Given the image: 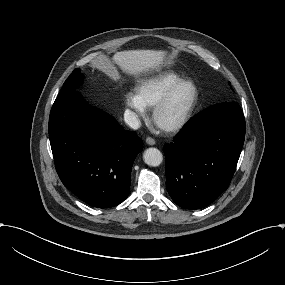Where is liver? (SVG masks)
<instances>
[{"label": "liver", "mask_w": 285, "mask_h": 285, "mask_svg": "<svg viewBox=\"0 0 285 285\" xmlns=\"http://www.w3.org/2000/svg\"><path fill=\"white\" fill-rule=\"evenodd\" d=\"M165 54L166 52L161 50H125L116 52L111 59L99 56L92 65L113 78L118 76L114 64H117L123 72L139 75L158 68Z\"/></svg>", "instance_id": "liver-1"}]
</instances>
